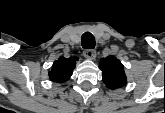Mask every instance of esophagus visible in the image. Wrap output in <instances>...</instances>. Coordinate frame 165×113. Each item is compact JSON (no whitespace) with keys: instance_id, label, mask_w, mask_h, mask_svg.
I'll return each mask as SVG.
<instances>
[{"instance_id":"34e87169","label":"esophagus","mask_w":165,"mask_h":113,"mask_svg":"<svg viewBox=\"0 0 165 113\" xmlns=\"http://www.w3.org/2000/svg\"><path fill=\"white\" fill-rule=\"evenodd\" d=\"M83 55L87 59H94L96 57V52L93 49H85Z\"/></svg>"}]
</instances>
